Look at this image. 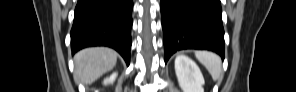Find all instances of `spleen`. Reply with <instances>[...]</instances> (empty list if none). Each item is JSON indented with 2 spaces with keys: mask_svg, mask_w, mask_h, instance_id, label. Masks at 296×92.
<instances>
[{
  "mask_svg": "<svg viewBox=\"0 0 296 92\" xmlns=\"http://www.w3.org/2000/svg\"><path fill=\"white\" fill-rule=\"evenodd\" d=\"M195 56L206 67L213 80H218L222 72V63L219 56L208 51H196Z\"/></svg>",
  "mask_w": 296,
  "mask_h": 92,
  "instance_id": "spleen-1",
  "label": "spleen"
}]
</instances>
